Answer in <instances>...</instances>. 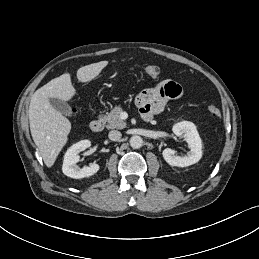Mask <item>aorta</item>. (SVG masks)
Masks as SVG:
<instances>
[{
  "label": "aorta",
  "mask_w": 259,
  "mask_h": 259,
  "mask_svg": "<svg viewBox=\"0 0 259 259\" xmlns=\"http://www.w3.org/2000/svg\"><path fill=\"white\" fill-rule=\"evenodd\" d=\"M129 142H130V146L134 149H138L143 145V139L137 135L132 136Z\"/></svg>",
  "instance_id": "aorta-1"
}]
</instances>
